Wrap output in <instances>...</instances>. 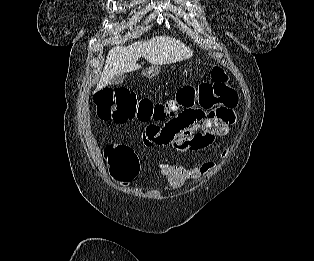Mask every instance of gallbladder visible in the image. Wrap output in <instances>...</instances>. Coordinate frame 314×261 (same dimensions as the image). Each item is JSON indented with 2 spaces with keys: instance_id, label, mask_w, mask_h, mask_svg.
<instances>
[{
  "instance_id": "gallbladder-1",
  "label": "gallbladder",
  "mask_w": 314,
  "mask_h": 261,
  "mask_svg": "<svg viewBox=\"0 0 314 261\" xmlns=\"http://www.w3.org/2000/svg\"><path fill=\"white\" fill-rule=\"evenodd\" d=\"M125 79V76L123 73H120V74H117L116 76H114V78L111 80V84L112 85H118V84H121L123 83Z\"/></svg>"
}]
</instances>
